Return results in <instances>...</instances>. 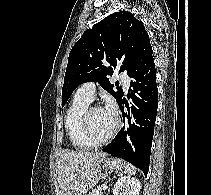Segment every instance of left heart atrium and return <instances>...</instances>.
<instances>
[{
  "instance_id": "obj_1",
  "label": "left heart atrium",
  "mask_w": 211,
  "mask_h": 195,
  "mask_svg": "<svg viewBox=\"0 0 211 195\" xmlns=\"http://www.w3.org/2000/svg\"><path fill=\"white\" fill-rule=\"evenodd\" d=\"M113 108H114L113 104H112V103H109L105 109H106L108 112H110V113L113 114Z\"/></svg>"
}]
</instances>
